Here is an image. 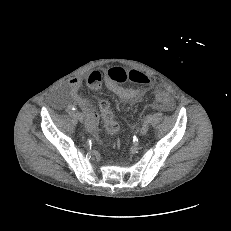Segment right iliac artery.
<instances>
[{
  "mask_svg": "<svg viewBox=\"0 0 231 231\" xmlns=\"http://www.w3.org/2000/svg\"><path fill=\"white\" fill-rule=\"evenodd\" d=\"M68 109H69V110H76L77 108H76L75 106H73V105H69V106H68Z\"/></svg>",
  "mask_w": 231,
  "mask_h": 231,
  "instance_id": "82829eb1",
  "label": "right iliac artery"
}]
</instances>
